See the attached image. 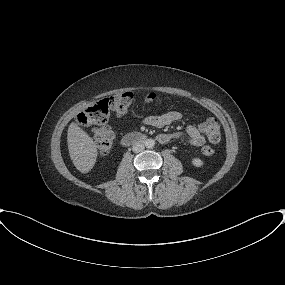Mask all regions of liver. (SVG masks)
Masks as SVG:
<instances>
[{
	"mask_svg": "<svg viewBox=\"0 0 285 285\" xmlns=\"http://www.w3.org/2000/svg\"><path fill=\"white\" fill-rule=\"evenodd\" d=\"M70 158L81 173L89 172L97 159V146L93 139L76 123L72 122L67 131Z\"/></svg>",
	"mask_w": 285,
	"mask_h": 285,
	"instance_id": "obj_1",
	"label": "liver"
}]
</instances>
